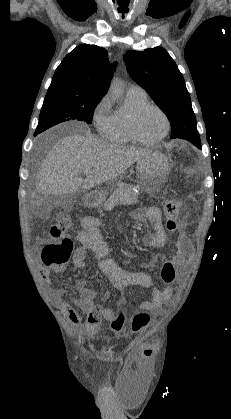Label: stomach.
<instances>
[{
  "label": "stomach",
  "mask_w": 231,
  "mask_h": 419,
  "mask_svg": "<svg viewBox=\"0 0 231 419\" xmlns=\"http://www.w3.org/2000/svg\"><path fill=\"white\" fill-rule=\"evenodd\" d=\"M169 168L168 158L158 151H151L141 157L137 161L141 188L148 193L159 191L167 179Z\"/></svg>",
  "instance_id": "stomach-1"
}]
</instances>
